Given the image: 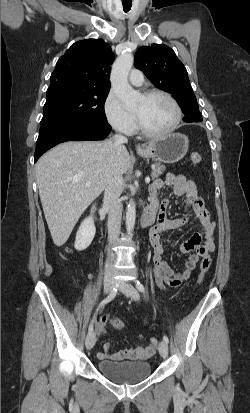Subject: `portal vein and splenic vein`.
I'll return each instance as SVG.
<instances>
[{
	"label": "portal vein and splenic vein",
	"instance_id": "portal-vein-and-splenic-vein-1",
	"mask_svg": "<svg viewBox=\"0 0 250 413\" xmlns=\"http://www.w3.org/2000/svg\"><path fill=\"white\" fill-rule=\"evenodd\" d=\"M145 182H146V184H149V183H150V178H149V177H146ZM90 185H91V182H90V181H87V182H86V186H90Z\"/></svg>",
	"mask_w": 250,
	"mask_h": 413
}]
</instances>
